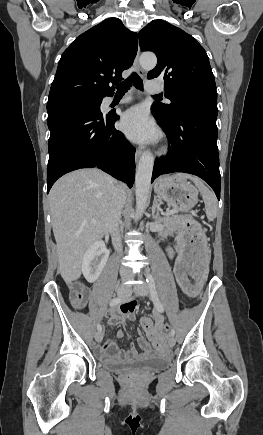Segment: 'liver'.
<instances>
[{
	"instance_id": "1",
	"label": "liver",
	"mask_w": 263,
	"mask_h": 435,
	"mask_svg": "<svg viewBox=\"0 0 263 435\" xmlns=\"http://www.w3.org/2000/svg\"><path fill=\"white\" fill-rule=\"evenodd\" d=\"M117 182L98 169H81L60 178L49 193L59 269L71 283L81 276L84 252L100 240Z\"/></svg>"
}]
</instances>
